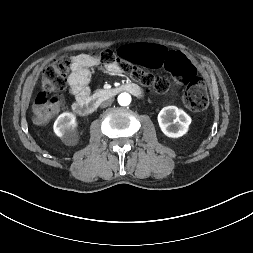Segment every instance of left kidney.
Segmentation results:
<instances>
[{"label": "left kidney", "instance_id": "obj_1", "mask_svg": "<svg viewBox=\"0 0 253 253\" xmlns=\"http://www.w3.org/2000/svg\"><path fill=\"white\" fill-rule=\"evenodd\" d=\"M161 131L170 138H179L187 133L191 117L176 106H166L158 114Z\"/></svg>", "mask_w": 253, "mask_h": 253}]
</instances>
